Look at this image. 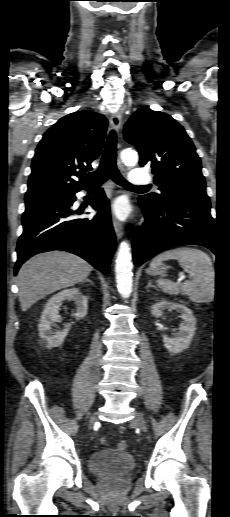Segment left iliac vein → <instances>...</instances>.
<instances>
[{
    "instance_id": "left-iliac-vein-1",
    "label": "left iliac vein",
    "mask_w": 230,
    "mask_h": 517,
    "mask_svg": "<svg viewBox=\"0 0 230 517\" xmlns=\"http://www.w3.org/2000/svg\"><path fill=\"white\" fill-rule=\"evenodd\" d=\"M133 423L136 424L142 431H146V421L140 412H135Z\"/></svg>"
}]
</instances>
